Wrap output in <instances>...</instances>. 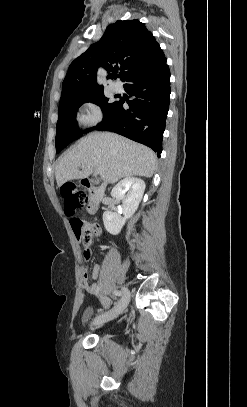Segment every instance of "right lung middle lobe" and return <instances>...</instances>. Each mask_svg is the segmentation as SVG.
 Here are the masks:
<instances>
[{
    "instance_id": "dd1d6c3e",
    "label": "right lung middle lobe",
    "mask_w": 247,
    "mask_h": 407,
    "mask_svg": "<svg viewBox=\"0 0 247 407\" xmlns=\"http://www.w3.org/2000/svg\"><path fill=\"white\" fill-rule=\"evenodd\" d=\"M85 102L99 105L103 112V120L112 112L118 101L113 103L104 96V92H98L91 96L69 101L59 105L58 121L56 127V153L61 152L69 143L81 137L77 128L76 113L78 108ZM91 129L86 130L88 132Z\"/></svg>"
}]
</instances>
